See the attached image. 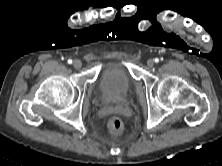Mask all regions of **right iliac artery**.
Segmentation results:
<instances>
[{
	"instance_id": "1",
	"label": "right iliac artery",
	"mask_w": 222,
	"mask_h": 166,
	"mask_svg": "<svg viewBox=\"0 0 222 166\" xmlns=\"http://www.w3.org/2000/svg\"><path fill=\"white\" fill-rule=\"evenodd\" d=\"M68 63H69V64H71V63H72V60H71V59H69V60H68Z\"/></svg>"
}]
</instances>
